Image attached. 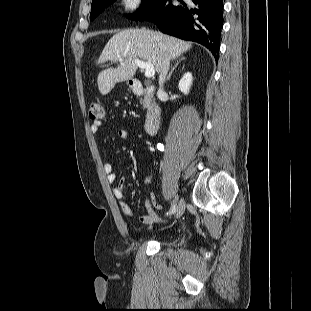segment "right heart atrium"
I'll use <instances>...</instances> for the list:
<instances>
[{"instance_id":"right-heart-atrium-1","label":"right heart atrium","mask_w":311,"mask_h":311,"mask_svg":"<svg viewBox=\"0 0 311 311\" xmlns=\"http://www.w3.org/2000/svg\"><path fill=\"white\" fill-rule=\"evenodd\" d=\"M122 10L127 13H137L142 6V0H118Z\"/></svg>"}]
</instances>
